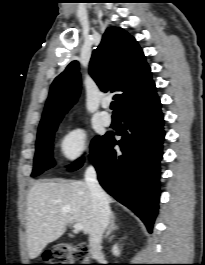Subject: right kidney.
Segmentation results:
<instances>
[{
    "mask_svg": "<svg viewBox=\"0 0 205 265\" xmlns=\"http://www.w3.org/2000/svg\"><path fill=\"white\" fill-rule=\"evenodd\" d=\"M112 253H113V255H115V256H118V255L120 254V250H119L117 244H115V245L112 247Z\"/></svg>",
    "mask_w": 205,
    "mask_h": 265,
    "instance_id": "ca27d5eb",
    "label": "right kidney"
}]
</instances>
